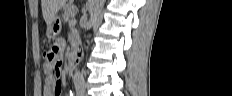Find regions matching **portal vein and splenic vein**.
<instances>
[{
    "mask_svg": "<svg viewBox=\"0 0 232 96\" xmlns=\"http://www.w3.org/2000/svg\"><path fill=\"white\" fill-rule=\"evenodd\" d=\"M76 23V19H72L70 24H75Z\"/></svg>",
    "mask_w": 232,
    "mask_h": 96,
    "instance_id": "portal-vein-and-splenic-vein-1",
    "label": "portal vein and splenic vein"
}]
</instances>
